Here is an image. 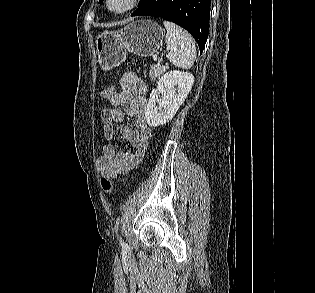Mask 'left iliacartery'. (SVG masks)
<instances>
[{"label":"left iliac artery","mask_w":315,"mask_h":293,"mask_svg":"<svg viewBox=\"0 0 315 293\" xmlns=\"http://www.w3.org/2000/svg\"><path fill=\"white\" fill-rule=\"evenodd\" d=\"M118 222L116 223V232L118 233ZM119 242H120V245L122 246V248H126V244L122 241L121 238H119Z\"/></svg>","instance_id":"left-iliac-artery-1"}]
</instances>
